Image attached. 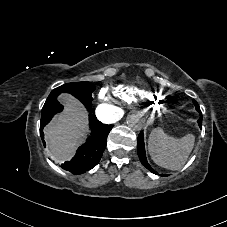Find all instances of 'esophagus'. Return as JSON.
I'll use <instances>...</instances> for the list:
<instances>
[{"label":"esophagus","instance_id":"esophagus-1","mask_svg":"<svg viewBox=\"0 0 227 227\" xmlns=\"http://www.w3.org/2000/svg\"><path fill=\"white\" fill-rule=\"evenodd\" d=\"M141 121H142L143 124L148 125V124L151 123L152 118H151L150 115L145 114V115L142 116Z\"/></svg>","mask_w":227,"mask_h":227}]
</instances>
